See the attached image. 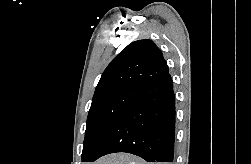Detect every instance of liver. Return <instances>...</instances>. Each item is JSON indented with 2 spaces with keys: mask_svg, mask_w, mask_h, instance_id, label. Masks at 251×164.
I'll return each mask as SVG.
<instances>
[{
  "mask_svg": "<svg viewBox=\"0 0 251 164\" xmlns=\"http://www.w3.org/2000/svg\"><path fill=\"white\" fill-rule=\"evenodd\" d=\"M94 164H147L142 159L125 153H116L105 156Z\"/></svg>",
  "mask_w": 251,
  "mask_h": 164,
  "instance_id": "1",
  "label": "liver"
}]
</instances>
